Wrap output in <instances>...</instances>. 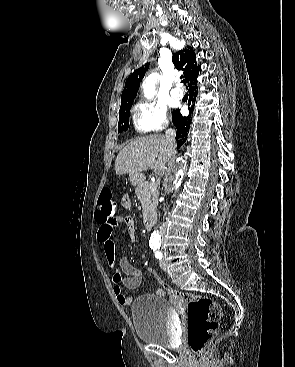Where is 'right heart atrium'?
Wrapping results in <instances>:
<instances>
[{"mask_svg":"<svg viewBox=\"0 0 295 367\" xmlns=\"http://www.w3.org/2000/svg\"><path fill=\"white\" fill-rule=\"evenodd\" d=\"M133 122L141 133L159 132L168 124L167 110L154 102L139 103L133 110Z\"/></svg>","mask_w":295,"mask_h":367,"instance_id":"1","label":"right heart atrium"}]
</instances>
